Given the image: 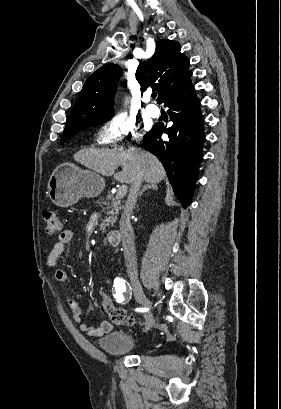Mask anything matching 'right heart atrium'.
I'll return each instance as SVG.
<instances>
[{"instance_id":"d8ad5b80","label":"right heart atrium","mask_w":281,"mask_h":409,"mask_svg":"<svg viewBox=\"0 0 281 409\" xmlns=\"http://www.w3.org/2000/svg\"><path fill=\"white\" fill-rule=\"evenodd\" d=\"M140 136L135 122L126 110L124 115L106 120L97 133L98 140L103 144H122L128 137L137 140Z\"/></svg>"}]
</instances>
